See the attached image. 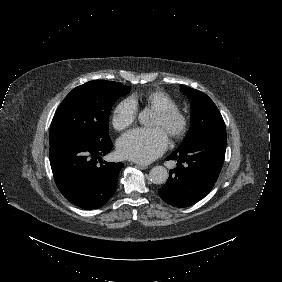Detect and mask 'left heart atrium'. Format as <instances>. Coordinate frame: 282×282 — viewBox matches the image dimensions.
<instances>
[{"label":"left heart atrium","instance_id":"obj_1","mask_svg":"<svg viewBox=\"0 0 282 282\" xmlns=\"http://www.w3.org/2000/svg\"><path fill=\"white\" fill-rule=\"evenodd\" d=\"M167 140L159 129H136L124 134L118 141V150L122 157L148 163L158 157L166 148Z\"/></svg>","mask_w":282,"mask_h":282}]
</instances>
